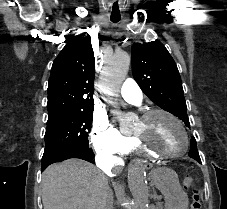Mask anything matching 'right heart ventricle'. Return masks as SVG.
Here are the masks:
<instances>
[{
    "label": "right heart ventricle",
    "instance_id": "e07e8e85",
    "mask_svg": "<svg viewBox=\"0 0 227 209\" xmlns=\"http://www.w3.org/2000/svg\"><path fill=\"white\" fill-rule=\"evenodd\" d=\"M134 151H136V152H138V153H145L140 147H138L135 143H134V141L133 140H130L129 139V143H128V146H127V148H126V150H125V152H124V154H130V153H132V152H134ZM147 157H150V158H154V157H152V156H150V155H148V154H145Z\"/></svg>",
    "mask_w": 227,
    "mask_h": 209
}]
</instances>
